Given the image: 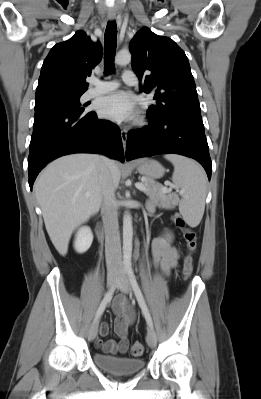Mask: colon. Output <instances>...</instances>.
Wrapping results in <instances>:
<instances>
[{
  "mask_svg": "<svg viewBox=\"0 0 261 399\" xmlns=\"http://www.w3.org/2000/svg\"><path fill=\"white\" fill-rule=\"evenodd\" d=\"M173 219L178 226L181 227L185 226L184 220L180 216L173 215ZM184 238L187 243L188 254L184 258L182 272L185 278H189L193 272L192 254L197 248V233L190 228H186L184 231ZM143 352H144V345L141 342H135L132 344L130 348V353L133 356L135 357L140 356L143 354Z\"/></svg>",
  "mask_w": 261,
  "mask_h": 399,
  "instance_id": "1",
  "label": "colon"
}]
</instances>
